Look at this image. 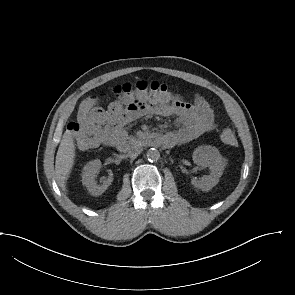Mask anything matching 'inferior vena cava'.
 Returning a JSON list of instances; mask_svg holds the SVG:
<instances>
[{
  "label": "inferior vena cava",
  "instance_id": "inferior-vena-cava-1",
  "mask_svg": "<svg viewBox=\"0 0 295 295\" xmlns=\"http://www.w3.org/2000/svg\"><path fill=\"white\" fill-rule=\"evenodd\" d=\"M142 150L143 149L141 146L135 145L128 151V155L130 158H136L142 152Z\"/></svg>",
  "mask_w": 295,
  "mask_h": 295
}]
</instances>
